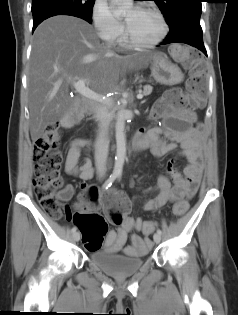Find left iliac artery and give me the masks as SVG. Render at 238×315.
Masks as SVG:
<instances>
[{"instance_id": "44dca946", "label": "left iliac artery", "mask_w": 238, "mask_h": 315, "mask_svg": "<svg viewBox=\"0 0 238 315\" xmlns=\"http://www.w3.org/2000/svg\"><path fill=\"white\" fill-rule=\"evenodd\" d=\"M120 177H121V174H118V178H120ZM157 233L161 235L162 231L160 229H157Z\"/></svg>"}]
</instances>
